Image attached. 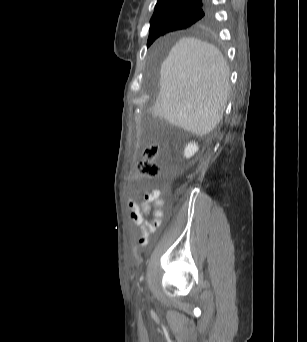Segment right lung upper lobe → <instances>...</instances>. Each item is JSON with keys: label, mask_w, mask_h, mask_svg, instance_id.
<instances>
[{"label": "right lung upper lobe", "mask_w": 307, "mask_h": 342, "mask_svg": "<svg viewBox=\"0 0 307 342\" xmlns=\"http://www.w3.org/2000/svg\"><path fill=\"white\" fill-rule=\"evenodd\" d=\"M208 4L209 2L207 0H158L150 23L152 24L159 14L166 11L185 9L204 10L201 18L186 28L192 32H206L211 23V13L208 9Z\"/></svg>", "instance_id": "right-lung-upper-lobe-1"}]
</instances>
